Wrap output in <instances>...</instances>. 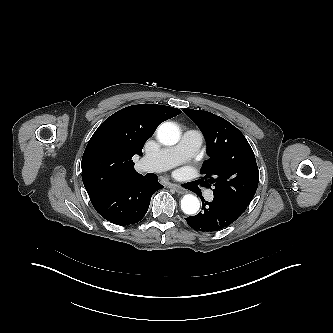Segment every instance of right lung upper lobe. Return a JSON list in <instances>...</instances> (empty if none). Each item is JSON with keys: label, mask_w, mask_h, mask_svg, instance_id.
Instances as JSON below:
<instances>
[{"label": "right lung upper lobe", "mask_w": 333, "mask_h": 333, "mask_svg": "<svg viewBox=\"0 0 333 333\" xmlns=\"http://www.w3.org/2000/svg\"><path fill=\"white\" fill-rule=\"evenodd\" d=\"M180 113L164 105L139 104L107 118L92 135L82 158V180L89 197L143 177L134 170L132 157L143 154L145 142L161 122Z\"/></svg>", "instance_id": "obj_1"}]
</instances>
